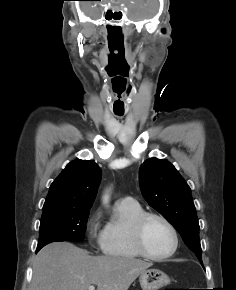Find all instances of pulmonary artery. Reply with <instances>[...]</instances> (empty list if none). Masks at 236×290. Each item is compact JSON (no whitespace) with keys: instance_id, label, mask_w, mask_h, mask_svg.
I'll return each instance as SVG.
<instances>
[{"instance_id":"obj_1","label":"pulmonary artery","mask_w":236,"mask_h":290,"mask_svg":"<svg viewBox=\"0 0 236 290\" xmlns=\"http://www.w3.org/2000/svg\"><path fill=\"white\" fill-rule=\"evenodd\" d=\"M122 201L123 202H133L134 199L132 197L127 196V197L123 198Z\"/></svg>"}]
</instances>
